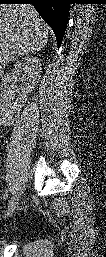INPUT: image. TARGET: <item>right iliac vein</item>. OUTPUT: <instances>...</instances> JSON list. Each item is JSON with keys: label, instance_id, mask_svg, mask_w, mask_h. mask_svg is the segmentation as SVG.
<instances>
[{"label": "right iliac vein", "instance_id": "obj_1", "mask_svg": "<svg viewBox=\"0 0 106 257\" xmlns=\"http://www.w3.org/2000/svg\"><path fill=\"white\" fill-rule=\"evenodd\" d=\"M18 205H19V198L15 197L7 208L6 216L7 217L12 216L13 213L15 212V209L18 207Z\"/></svg>", "mask_w": 106, "mask_h": 257}]
</instances>
